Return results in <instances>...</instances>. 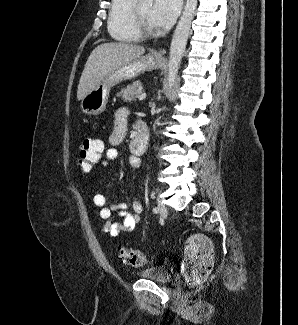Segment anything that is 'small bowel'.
I'll use <instances>...</instances> for the list:
<instances>
[{"instance_id": "small-bowel-1", "label": "small bowel", "mask_w": 298, "mask_h": 325, "mask_svg": "<svg viewBox=\"0 0 298 325\" xmlns=\"http://www.w3.org/2000/svg\"><path fill=\"white\" fill-rule=\"evenodd\" d=\"M127 115L124 110L118 111L114 120L113 130L109 136V148L105 152V159L101 162L103 167L108 166L110 161H113L118 156L117 146L124 140L127 134ZM129 163L132 169L136 170L140 167L141 161L136 156L129 158ZM93 203L100 209L99 215L102 219L107 220L103 227V232L111 237H117L122 231H133L140 221V215L143 210L142 203L135 199L132 202L129 210L126 203L113 204L110 207L106 206V198L103 194L97 193L93 197ZM114 213H117L122 222L114 221Z\"/></svg>"}]
</instances>
